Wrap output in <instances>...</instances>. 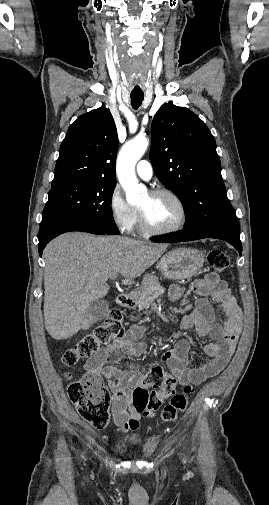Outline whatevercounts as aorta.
Returning <instances> with one entry per match:
<instances>
[{
  "instance_id": "aorta-1",
  "label": "aorta",
  "mask_w": 269,
  "mask_h": 505,
  "mask_svg": "<svg viewBox=\"0 0 269 505\" xmlns=\"http://www.w3.org/2000/svg\"><path fill=\"white\" fill-rule=\"evenodd\" d=\"M149 140L145 136H136L122 147L116 165L118 180L126 193L130 204H138L147 196V189L139 184L135 174V165L143 156Z\"/></svg>"
}]
</instances>
